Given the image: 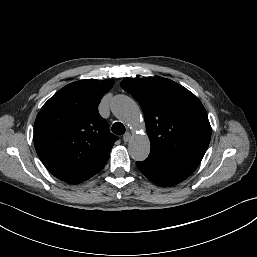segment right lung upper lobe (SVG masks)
Masks as SVG:
<instances>
[{
	"instance_id": "obj_1",
	"label": "right lung upper lobe",
	"mask_w": 257,
	"mask_h": 257,
	"mask_svg": "<svg viewBox=\"0 0 257 257\" xmlns=\"http://www.w3.org/2000/svg\"><path fill=\"white\" fill-rule=\"evenodd\" d=\"M114 80L86 79L66 85L41 108L34 125V145L45 167L57 178L81 183L107 163L118 139L98 112Z\"/></svg>"
}]
</instances>
